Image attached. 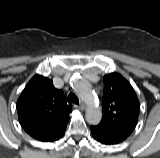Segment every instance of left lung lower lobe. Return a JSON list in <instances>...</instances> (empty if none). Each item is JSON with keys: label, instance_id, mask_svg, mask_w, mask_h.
Segmentation results:
<instances>
[{"label": "left lung lower lobe", "instance_id": "0a47b994", "mask_svg": "<svg viewBox=\"0 0 160 158\" xmlns=\"http://www.w3.org/2000/svg\"><path fill=\"white\" fill-rule=\"evenodd\" d=\"M91 133L95 140L106 145L118 144L127 138L124 134L107 129L100 124L91 126Z\"/></svg>", "mask_w": 160, "mask_h": 158}]
</instances>
